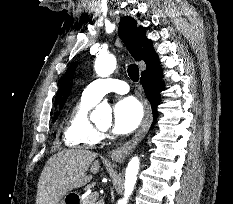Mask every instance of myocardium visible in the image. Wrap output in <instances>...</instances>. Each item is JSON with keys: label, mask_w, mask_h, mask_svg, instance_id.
Returning <instances> with one entry per match:
<instances>
[{"label": "myocardium", "mask_w": 233, "mask_h": 204, "mask_svg": "<svg viewBox=\"0 0 233 204\" xmlns=\"http://www.w3.org/2000/svg\"><path fill=\"white\" fill-rule=\"evenodd\" d=\"M96 128H97V130H98L99 132H104V131H105L104 128H101V127H99V126H97Z\"/></svg>", "instance_id": "f54148a6"}]
</instances>
